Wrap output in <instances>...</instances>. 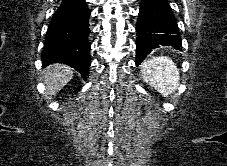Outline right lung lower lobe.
I'll list each match as a JSON object with an SVG mask.
<instances>
[{"mask_svg": "<svg viewBox=\"0 0 227 166\" xmlns=\"http://www.w3.org/2000/svg\"><path fill=\"white\" fill-rule=\"evenodd\" d=\"M89 17L85 0H62L46 34L41 55L44 66L64 63L86 79L91 63Z\"/></svg>", "mask_w": 227, "mask_h": 166, "instance_id": "right-lung-lower-lobe-1", "label": "right lung lower lobe"}]
</instances>
